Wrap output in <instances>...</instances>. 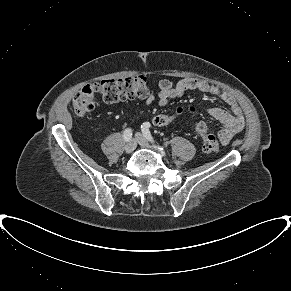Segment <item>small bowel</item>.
Masks as SVG:
<instances>
[{
	"instance_id": "small-bowel-1",
	"label": "small bowel",
	"mask_w": 291,
	"mask_h": 291,
	"mask_svg": "<svg viewBox=\"0 0 291 291\" xmlns=\"http://www.w3.org/2000/svg\"><path fill=\"white\" fill-rule=\"evenodd\" d=\"M191 90L216 95L229 106L230 111L221 108L208 110V114L222 125V129L218 132V138L222 144H228L236 134L244 129L245 119L234 96L229 91L204 80L185 78L176 85L168 80H162L159 84L157 103L165 106L170 100L180 98ZM155 100V97L150 95L146 98L145 105H151Z\"/></svg>"
}]
</instances>
